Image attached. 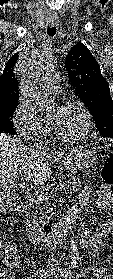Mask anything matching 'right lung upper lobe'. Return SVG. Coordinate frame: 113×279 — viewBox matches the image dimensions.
<instances>
[{"instance_id": "right-lung-upper-lobe-1", "label": "right lung upper lobe", "mask_w": 113, "mask_h": 279, "mask_svg": "<svg viewBox=\"0 0 113 279\" xmlns=\"http://www.w3.org/2000/svg\"><path fill=\"white\" fill-rule=\"evenodd\" d=\"M18 54H14L6 63L3 74L0 76V109L17 106L18 84L13 72Z\"/></svg>"}]
</instances>
